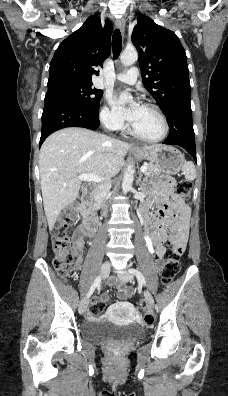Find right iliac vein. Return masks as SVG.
Listing matches in <instances>:
<instances>
[{"instance_id":"63e3f726","label":"right iliac vein","mask_w":228,"mask_h":396,"mask_svg":"<svg viewBox=\"0 0 228 396\" xmlns=\"http://www.w3.org/2000/svg\"><path fill=\"white\" fill-rule=\"evenodd\" d=\"M109 271H110V262L105 261L100 268V276L105 278L109 274ZM88 301H89L88 298H84L81 300L79 304V313L81 315L85 313L87 309Z\"/></svg>"}]
</instances>
